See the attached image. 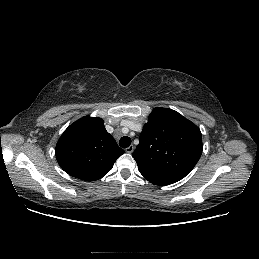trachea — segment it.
I'll list each match as a JSON object with an SVG mask.
<instances>
[{"instance_id": "trachea-1", "label": "trachea", "mask_w": 259, "mask_h": 259, "mask_svg": "<svg viewBox=\"0 0 259 259\" xmlns=\"http://www.w3.org/2000/svg\"><path fill=\"white\" fill-rule=\"evenodd\" d=\"M131 144V139L130 137H127V136H124L120 139L119 141V145L122 147V148H127L129 147Z\"/></svg>"}]
</instances>
